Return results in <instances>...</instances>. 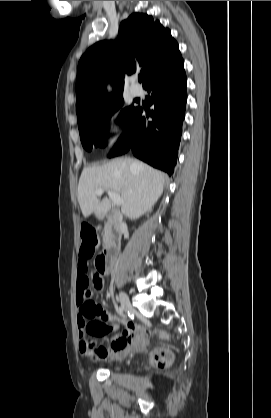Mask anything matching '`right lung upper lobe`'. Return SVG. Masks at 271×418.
Returning a JSON list of instances; mask_svg holds the SVG:
<instances>
[{"mask_svg":"<svg viewBox=\"0 0 271 418\" xmlns=\"http://www.w3.org/2000/svg\"><path fill=\"white\" fill-rule=\"evenodd\" d=\"M181 60L178 43L168 28L152 16L133 13L121 23L117 42H98L81 57L76 79L77 117L122 95L125 74L140 71L146 88ZM108 82L114 87L110 95Z\"/></svg>","mask_w":271,"mask_h":418,"instance_id":"obj_1","label":"right lung upper lobe"}]
</instances>
